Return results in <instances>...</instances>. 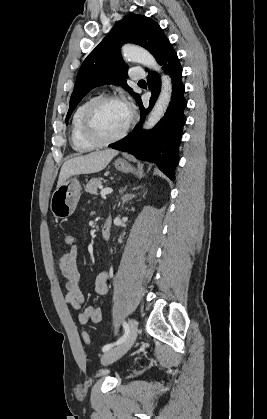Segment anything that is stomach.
Returning a JSON list of instances; mask_svg holds the SVG:
<instances>
[{
  "instance_id": "stomach-1",
  "label": "stomach",
  "mask_w": 267,
  "mask_h": 419,
  "mask_svg": "<svg viewBox=\"0 0 267 419\" xmlns=\"http://www.w3.org/2000/svg\"><path fill=\"white\" fill-rule=\"evenodd\" d=\"M115 167L117 170L125 173L138 174V171L123 159H117ZM81 194V184L75 177L67 179L58 186L53 192L50 202V210L54 217L64 219L71 216L77 207Z\"/></svg>"
}]
</instances>
